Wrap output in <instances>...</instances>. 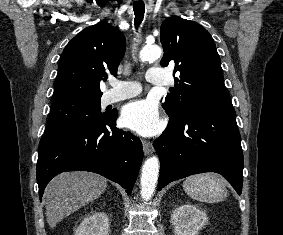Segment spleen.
<instances>
[{
  "mask_svg": "<svg viewBox=\"0 0 283 235\" xmlns=\"http://www.w3.org/2000/svg\"><path fill=\"white\" fill-rule=\"evenodd\" d=\"M183 189L192 199L206 203L221 202L228 195L225 180L215 173L190 176L183 182Z\"/></svg>",
  "mask_w": 283,
  "mask_h": 235,
  "instance_id": "3e777b00",
  "label": "spleen"
}]
</instances>
